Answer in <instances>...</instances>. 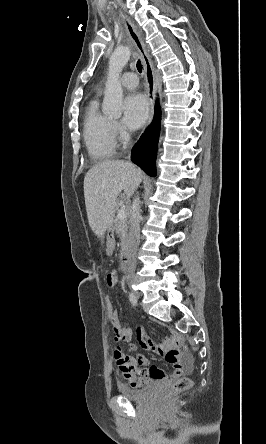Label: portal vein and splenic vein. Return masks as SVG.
I'll return each instance as SVG.
<instances>
[{
  "label": "portal vein and splenic vein",
  "mask_w": 266,
  "mask_h": 444,
  "mask_svg": "<svg viewBox=\"0 0 266 444\" xmlns=\"http://www.w3.org/2000/svg\"><path fill=\"white\" fill-rule=\"evenodd\" d=\"M120 219L124 218L126 216V206L122 205L120 210L118 211L117 215Z\"/></svg>",
  "instance_id": "portal-vein-and-splenic-vein-1"
}]
</instances>
